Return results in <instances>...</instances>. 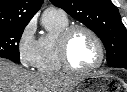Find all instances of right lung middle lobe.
Here are the masks:
<instances>
[{"mask_svg":"<svg viewBox=\"0 0 127 92\" xmlns=\"http://www.w3.org/2000/svg\"><path fill=\"white\" fill-rule=\"evenodd\" d=\"M25 26L0 27V57L19 60V41Z\"/></svg>","mask_w":127,"mask_h":92,"instance_id":"dd1d6c3e","label":"right lung middle lobe"}]
</instances>
